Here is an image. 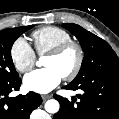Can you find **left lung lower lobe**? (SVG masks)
I'll return each instance as SVG.
<instances>
[{"mask_svg": "<svg viewBox=\"0 0 119 119\" xmlns=\"http://www.w3.org/2000/svg\"><path fill=\"white\" fill-rule=\"evenodd\" d=\"M64 89L82 90L72 100L54 95L60 110L53 119H119V71L103 72L82 82H71Z\"/></svg>", "mask_w": 119, "mask_h": 119, "instance_id": "1", "label": "left lung lower lobe"}]
</instances>
